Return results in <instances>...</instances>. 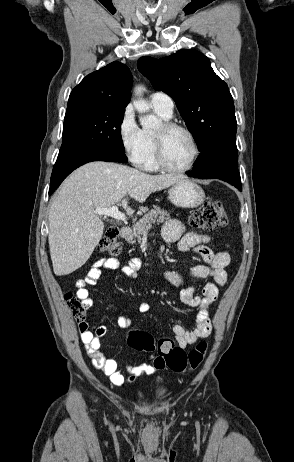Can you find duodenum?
<instances>
[{"label": "duodenum", "instance_id": "410a0bca", "mask_svg": "<svg viewBox=\"0 0 294 462\" xmlns=\"http://www.w3.org/2000/svg\"><path fill=\"white\" fill-rule=\"evenodd\" d=\"M132 233V228L130 226H124L120 230V236L122 238H127Z\"/></svg>", "mask_w": 294, "mask_h": 462}]
</instances>
